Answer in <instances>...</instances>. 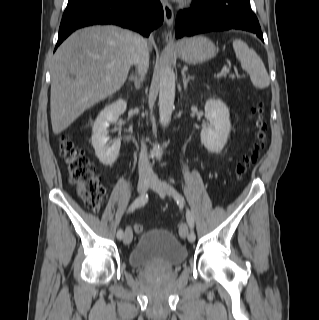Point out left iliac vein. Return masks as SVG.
I'll return each instance as SVG.
<instances>
[{
    "instance_id": "left-iliac-vein-1",
    "label": "left iliac vein",
    "mask_w": 319,
    "mask_h": 320,
    "mask_svg": "<svg viewBox=\"0 0 319 320\" xmlns=\"http://www.w3.org/2000/svg\"><path fill=\"white\" fill-rule=\"evenodd\" d=\"M150 188L156 191L160 196L169 195L176 198V191L175 189L166 182H163L157 178L151 180ZM179 234L182 238L188 237V228L185 223L180 226Z\"/></svg>"
}]
</instances>
